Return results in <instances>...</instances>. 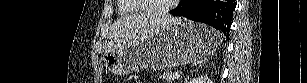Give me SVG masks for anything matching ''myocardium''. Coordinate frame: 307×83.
Instances as JSON below:
<instances>
[{
  "label": "myocardium",
  "instance_id": "1",
  "mask_svg": "<svg viewBox=\"0 0 307 83\" xmlns=\"http://www.w3.org/2000/svg\"><path fill=\"white\" fill-rule=\"evenodd\" d=\"M143 11L151 13L153 15H164L169 13L173 7L175 6V4L177 2H179V0H171L167 5L160 7L157 10H149L146 6V4L144 3V0H133Z\"/></svg>",
  "mask_w": 307,
  "mask_h": 83
}]
</instances>
